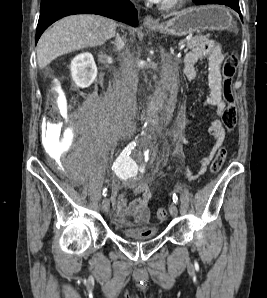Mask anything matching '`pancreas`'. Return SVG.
I'll return each instance as SVG.
<instances>
[{"mask_svg":"<svg viewBox=\"0 0 267 298\" xmlns=\"http://www.w3.org/2000/svg\"><path fill=\"white\" fill-rule=\"evenodd\" d=\"M205 39H206L205 36L198 35V36H195V37H191L188 40H182V41H180V44L187 43V49L186 50H188V49H192V48L198 46Z\"/></svg>","mask_w":267,"mask_h":298,"instance_id":"1","label":"pancreas"}]
</instances>
